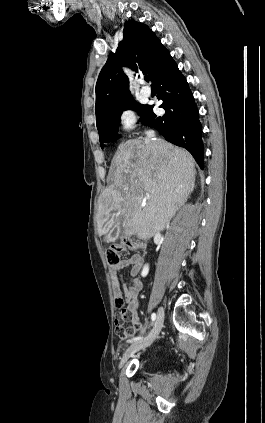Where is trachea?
<instances>
[{"mask_svg":"<svg viewBox=\"0 0 265 423\" xmlns=\"http://www.w3.org/2000/svg\"><path fill=\"white\" fill-rule=\"evenodd\" d=\"M144 79H145V81H147V82H149V80H150L148 76H145V77H144Z\"/></svg>","mask_w":265,"mask_h":423,"instance_id":"obj_1","label":"trachea"}]
</instances>
